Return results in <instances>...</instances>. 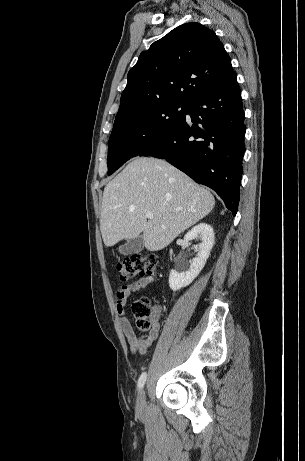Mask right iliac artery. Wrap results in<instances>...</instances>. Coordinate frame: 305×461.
Here are the masks:
<instances>
[{"instance_id": "right-iliac-artery-1", "label": "right iliac artery", "mask_w": 305, "mask_h": 461, "mask_svg": "<svg viewBox=\"0 0 305 461\" xmlns=\"http://www.w3.org/2000/svg\"><path fill=\"white\" fill-rule=\"evenodd\" d=\"M146 378H147V374H146V372H143L141 374V376L139 377V379H138V388L139 389H141L144 386Z\"/></svg>"}]
</instances>
